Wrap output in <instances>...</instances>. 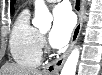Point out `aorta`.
<instances>
[{"label": "aorta", "instance_id": "obj_1", "mask_svg": "<svg viewBox=\"0 0 102 75\" xmlns=\"http://www.w3.org/2000/svg\"><path fill=\"white\" fill-rule=\"evenodd\" d=\"M52 15L43 0L35 1V17L33 25L39 29H49L51 27ZM80 50L76 47L67 58L61 75H75L77 64L79 61Z\"/></svg>", "mask_w": 102, "mask_h": 75}]
</instances>
